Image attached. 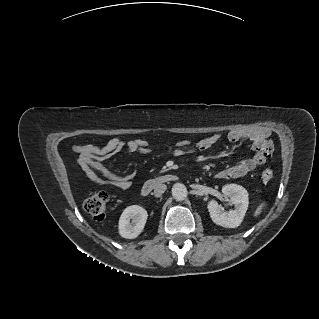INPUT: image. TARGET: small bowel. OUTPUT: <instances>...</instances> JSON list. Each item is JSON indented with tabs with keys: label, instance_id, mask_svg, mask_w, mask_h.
Returning a JSON list of instances; mask_svg holds the SVG:
<instances>
[{
	"label": "small bowel",
	"instance_id": "c3829d8e",
	"mask_svg": "<svg viewBox=\"0 0 319 319\" xmlns=\"http://www.w3.org/2000/svg\"><path fill=\"white\" fill-rule=\"evenodd\" d=\"M269 133L262 132L248 134L239 130H231L227 134V139L236 143L248 139L252 144L253 154L240 162L219 170L216 177L219 179H232L242 177L266 162L267 157L259 150L262 142L268 140ZM220 139V134L214 133L198 141L190 148L187 140H180L171 146L174 156H183L190 151L203 153L213 148ZM153 148V143L143 139L123 141L120 138L110 139L103 145H75L74 152L78 156V163L84 174L92 182L99 185H112L117 188L127 189L131 186L133 175H119L111 172L103 161L113 155L127 150L129 152L149 153Z\"/></svg>",
	"mask_w": 319,
	"mask_h": 319
}]
</instances>
